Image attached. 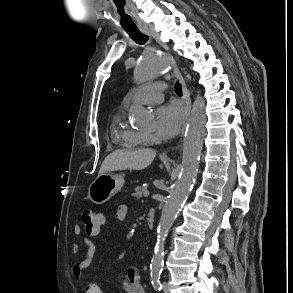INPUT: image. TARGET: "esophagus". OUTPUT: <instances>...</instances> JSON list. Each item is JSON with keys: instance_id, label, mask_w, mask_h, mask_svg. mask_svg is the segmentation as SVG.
Returning <instances> with one entry per match:
<instances>
[{"instance_id": "esophagus-1", "label": "esophagus", "mask_w": 293, "mask_h": 293, "mask_svg": "<svg viewBox=\"0 0 293 293\" xmlns=\"http://www.w3.org/2000/svg\"><path fill=\"white\" fill-rule=\"evenodd\" d=\"M140 30L147 35L152 36L161 46H163L165 49H167V45L165 43H163L160 39V35L159 33L156 32L155 28L153 27V25L150 24H144L140 27ZM174 74L177 77V79L179 80V82L181 83L182 86V92H183V98L186 104V109H187V117H189L190 115V111H191V100H190V95L189 92L187 90L186 87V83L184 78L182 77L179 69L177 67L174 68Z\"/></svg>"}]
</instances>
